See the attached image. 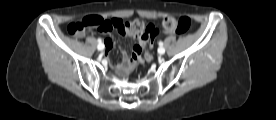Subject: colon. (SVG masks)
Returning <instances> with one entry per match:
<instances>
[{"label": "colon", "mask_w": 276, "mask_h": 120, "mask_svg": "<svg viewBox=\"0 0 276 120\" xmlns=\"http://www.w3.org/2000/svg\"><path fill=\"white\" fill-rule=\"evenodd\" d=\"M192 27V20L187 16L167 17L163 21V28L166 32L185 34ZM99 29L103 33H109L117 30L126 37H135L141 41L153 39L158 34L156 29L151 25H147L142 19H134L130 21L105 20L100 16H87L82 20L73 21L67 27V32L78 37L83 32L91 29Z\"/></svg>", "instance_id": "5ec220e1"}]
</instances>
